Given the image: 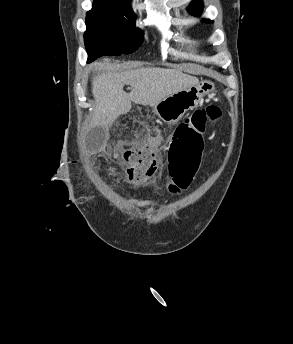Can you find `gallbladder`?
Wrapping results in <instances>:
<instances>
[{"label":"gallbladder","mask_w":293,"mask_h":344,"mask_svg":"<svg viewBox=\"0 0 293 344\" xmlns=\"http://www.w3.org/2000/svg\"><path fill=\"white\" fill-rule=\"evenodd\" d=\"M108 132L104 127L92 128L86 137V146L90 151L98 150L107 140Z\"/></svg>","instance_id":"1"}]
</instances>
